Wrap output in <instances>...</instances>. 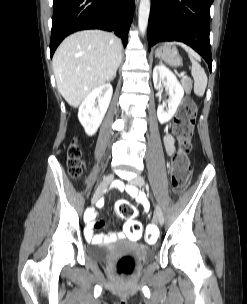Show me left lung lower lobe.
<instances>
[{
    "label": "left lung lower lobe",
    "mask_w": 247,
    "mask_h": 304,
    "mask_svg": "<svg viewBox=\"0 0 247 304\" xmlns=\"http://www.w3.org/2000/svg\"><path fill=\"white\" fill-rule=\"evenodd\" d=\"M213 0H152L148 45L180 41L196 50L212 69L210 6Z\"/></svg>",
    "instance_id": "obj_1"
}]
</instances>
